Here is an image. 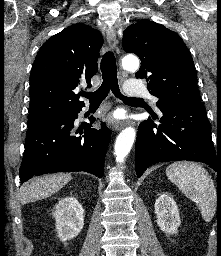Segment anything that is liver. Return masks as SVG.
<instances>
[{"instance_id": "liver-1", "label": "liver", "mask_w": 221, "mask_h": 256, "mask_svg": "<svg viewBox=\"0 0 221 256\" xmlns=\"http://www.w3.org/2000/svg\"><path fill=\"white\" fill-rule=\"evenodd\" d=\"M71 179L72 176L69 173H55L36 177L20 188L21 203L26 204L49 197L58 192Z\"/></svg>"}]
</instances>
